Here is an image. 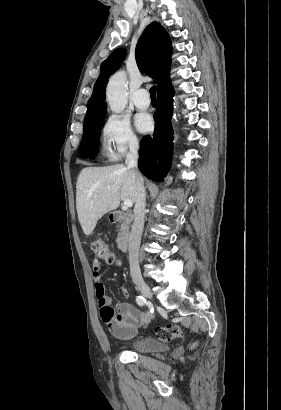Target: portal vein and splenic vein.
<instances>
[{
  "mask_svg": "<svg viewBox=\"0 0 281 410\" xmlns=\"http://www.w3.org/2000/svg\"><path fill=\"white\" fill-rule=\"evenodd\" d=\"M123 205H124L123 206L124 209H128V208L132 207L133 202L131 200H124Z\"/></svg>",
  "mask_w": 281,
  "mask_h": 410,
  "instance_id": "18ae733b",
  "label": "portal vein and splenic vein"
}]
</instances>
